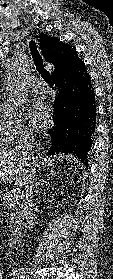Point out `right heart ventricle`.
Returning <instances> with one entry per match:
<instances>
[{"label": "right heart ventricle", "mask_w": 113, "mask_h": 279, "mask_svg": "<svg viewBox=\"0 0 113 279\" xmlns=\"http://www.w3.org/2000/svg\"><path fill=\"white\" fill-rule=\"evenodd\" d=\"M13 119L8 117L0 104V147L9 145L13 142Z\"/></svg>", "instance_id": "obj_1"}]
</instances>
